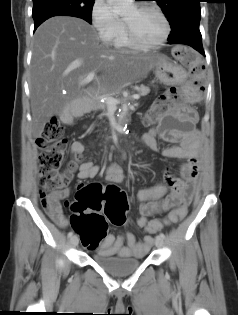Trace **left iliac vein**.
Instances as JSON below:
<instances>
[{
    "mask_svg": "<svg viewBox=\"0 0 238 315\" xmlns=\"http://www.w3.org/2000/svg\"><path fill=\"white\" fill-rule=\"evenodd\" d=\"M155 245L158 248L163 247V245H164L163 239L161 237L157 236L156 239H155Z\"/></svg>",
    "mask_w": 238,
    "mask_h": 315,
    "instance_id": "left-iliac-vein-1",
    "label": "left iliac vein"
}]
</instances>
